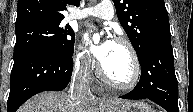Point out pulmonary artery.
<instances>
[{"label":"pulmonary artery","instance_id":"pulmonary-artery-1","mask_svg":"<svg viewBox=\"0 0 193 112\" xmlns=\"http://www.w3.org/2000/svg\"><path fill=\"white\" fill-rule=\"evenodd\" d=\"M114 16V8L112 2L104 0L101 3L91 8L85 9L81 12H74L70 19H82L87 17H95L104 20H111Z\"/></svg>","mask_w":193,"mask_h":112}]
</instances>
